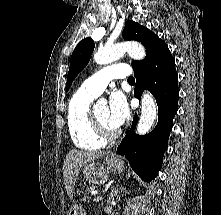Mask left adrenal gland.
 I'll return each instance as SVG.
<instances>
[{
	"label": "left adrenal gland",
	"mask_w": 221,
	"mask_h": 215,
	"mask_svg": "<svg viewBox=\"0 0 221 215\" xmlns=\"http://www.w3.org/2000/svg\"><path fill=\"white\" fill-rule=\"evenodd\" d=\"M117 192H118V191H117V190H115V188L113 187V188H112V190H111V194H112V196H113V194H114V195H116V194H117Z\"/></svg>",
	"instance_id": "left-adrenal-gland-1"
}]
</instances>
